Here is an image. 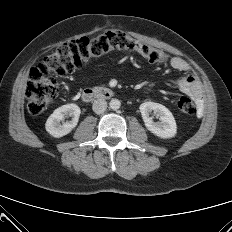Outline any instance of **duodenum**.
Returning a JSON list of instances; mask_svg holds the SVG:
<instances>
[{"label":"duodenum","mask_w":232,"mask_h":232,"mask_svg":"<svg viewBox=\"0 0 232 232\" xmlns=\"http://www.w3.org/2000/svg\"><path fill=\"white\" fill-rule=\"evenodd\" d=\"M113 96V90L98 87L85 89L81 94V98L84 102H90L97 99H109Z\"/></svg>","instance_id":"1"}]
</instances>
